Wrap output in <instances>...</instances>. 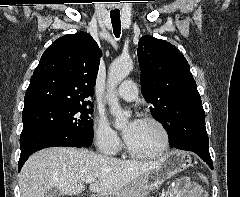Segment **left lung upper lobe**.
<instances>
[{
  "label": "left lung upper lobe",
  "instance_id": "1",
  "mask_svg": "<svg viewBox=\"0 0 240 197\" xmlns=\"http://www.w3.org/2000/svg\"><path fill=\"white\" fill-rule=\"evenodd\" d=\"M142 94L150 103L153 117L168 131L173 119L202 101L190 66L171 43L145 35L137 50Z\"/></svg>",
  "mask_w": 240,
  "mask_h": 197
}]
</instances>
